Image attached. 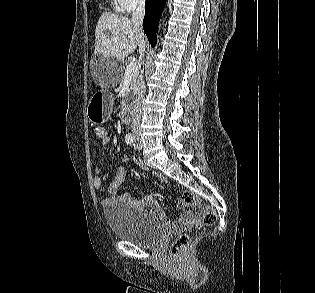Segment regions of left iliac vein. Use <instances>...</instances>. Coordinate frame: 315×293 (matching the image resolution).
I'll return each mask as SVG.
<instances>
[{"instance_id": "left-iliac-vein-1", "label": "left iliac vein", "mask_w": 315, "mask_h": 293, "mask_svg": "<svg viewBox=\"0 0 315 293\" xmlns=\"http://www.w3.org/2000/svg\"><path fill=\"white\" fill-rule=\"evenodd\" d=\"M134 147L138 151H140L142 149V147H143L142 141H141V139L138 136L136 137Z\"/></svg>"}]
</instances>
